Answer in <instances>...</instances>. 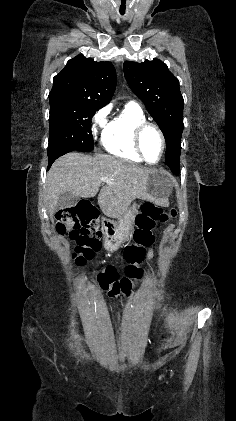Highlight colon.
Returning a JSON list of instances; mask_svg holds the SVG:
<instances>
[{
    "label": "colon",
    "instance_id": "5ec220e1",
    "mask_svg": "<svg viewBox=\"0 0 236 421\" xmlns=\"http://www.w3.org/2000/svg\"><path fill=\"white\" fill-rule=\"evenodd\" d=\"M175 209L165 210L151 202H145L136 216L134 243L125 248V259L128 263L126 275L120 277L114 266H104L97 273V280L102 289L111 297L131 293L133 283L142 276L139 264L144 260L146 249L155 240L152 230L158 222H165L175 217ZM57 229L75 240L77 246L73 255L75 263L81 265L91 259L101 247V223L89 217L85 206L69 207L58 212ZM166 344H170L171 333L162 336Z\"/></svg>",
    "mask_w": 236,
    "mask_h": 421
}]
</instances>
